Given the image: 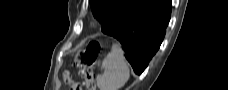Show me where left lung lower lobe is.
I'll return each mask as SVG.
<instances>
[{"label":"left lung lower lobe","mask_w":228,"mask_h":90,"mask_svg":"<svg viewBox=\"0 0 228 90\" xmlns=\"http://www.w3.org/2000/svg\"><path fill=\"white\" fill-rule=\"evenodd\" d=\"M170 15V0H133L103 32L122 44L127 60L140 75L160 47Z\"/></svg>","instance_id":"left-lung-lower-lobe-1"}]
</instances>
